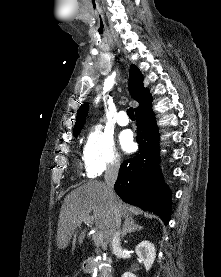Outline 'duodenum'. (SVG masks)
Segmentation results:
<instances>
[{"mask_svg": "<svg viewBox=\"0 0 221 277\" xmlns=\"http://www.w3.org/2000/svg\"><path fill=\"white\" fill-rule=\"evenodd\" d=\"M100 261H101V258L96 256H90L86 258L85 261L83 262V268L87 272L91 271L94 265L99 264Z\"/></svg>", "mask_w": 221, "mask_h": 277, "instance_id": "410a0bca", "label": "duodenum"}]
</instances>
